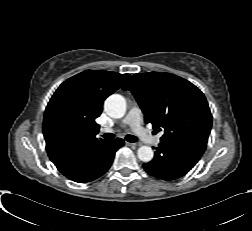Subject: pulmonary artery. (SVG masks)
<instances>
[{
	"label": "pulmonary artery",
	"mask_w": 252,
	"mask_h": 231,
	"mask_svg": "<svg viewBox=\"0 0 252 231\" xmlns=\"http://www.w3.org/2000/svg\"><path fill=\"white\" fill-rule=\"evenodd\" d=\"M122 125L130 126L132 131L144 142L158 145L161 142V135H153L142 126V112L139 107L132 106L121 121ZM107 132L109 129H101Z\"/></svg>",
	"instance_id": "e3ab8cb5"
}]
</instances>
